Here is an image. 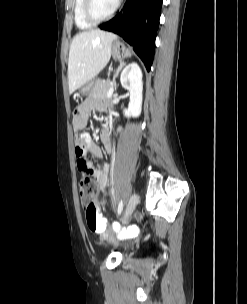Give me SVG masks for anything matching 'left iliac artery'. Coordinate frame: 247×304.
<instances>
[{
    "label": "left iliac artery",
    "instance_id": "44dca946",
    "mask_svg": "<svg viewBox=\"0 0 247 304\" xmlns=\"http://www.w3.org/2000/svg\"><path fill=\"white\" fill-rule=\"evenodd\" d=\"M122 210H123V201L121 200L118 205V215L121 214Z\"/></svg>",
    "mask_w": 247,
    "mask_h": 304
}]
</instances>
